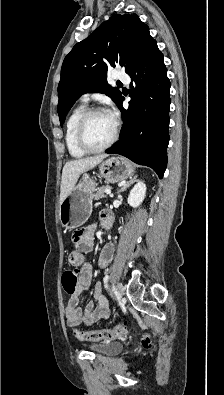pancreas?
Returning <instances> with one entry per match:
<instances>
[{
	"instance_id": "pancreas-1",
	"label": "pancreas",
	"mask_w": 224,
	"mask_h": 395,
	"mask_svg": "<svg viewBox=\"0 0 224 395\" xmlns=\"http://www.w3.org/2000/svg\"><path fill=\"white\" fill-rule=\"evenodd\" d=\"M106 189H111V187L110 186H102V187L98 188L97 192L92 195V198L94 200H99L101 198H105L106 197V194H105Z\"/></svg>"
}]
</instances>
